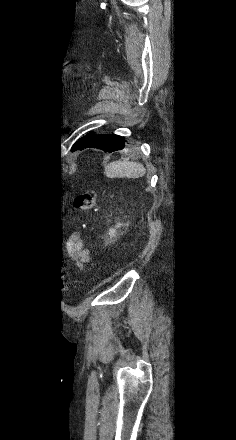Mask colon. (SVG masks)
Instances as JSON below:
<instances>
[{
	"label": "colon",
	"instance_id": "1",
	"mask_svg": "<svg viewBox=\"0 0 236 440\" xmlns=\"http://www.w3.org/2000/svg\"><path fill=\"white\" fill-rule=\"evenodd\" d=\"M96 197L97 193L94 190L82 191L75 196L74 206L81 212H89L95 204ZM62 279V274L57 273L55 276H50L48 282L50 285H57Z\"/></svg>",
	"mask_w": 236,
	"mask_h": 440
}]
</instances>
